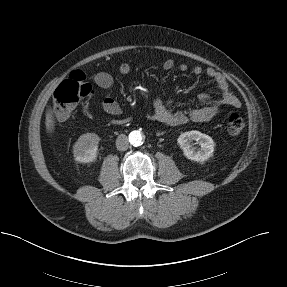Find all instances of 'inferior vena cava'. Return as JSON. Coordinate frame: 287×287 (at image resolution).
I'll return each instance as SVG.
<instances>
[{
  "mask_svg": "<svg viewBox=\"0 0 287 287\" xmlns=\"http://www.w3.org/2000/svg\"><path fill=\"white\" fill-rule=\"evenodd\" d=\"M129 146L128 138L125 134H120L116 139V147L119 151H126Z\"/></svg>",
  "mask_w": 287,
  "mask_h": 287,
  "instance_id": "1",
  "label": "inferior vena cava"
}]
</instances>
